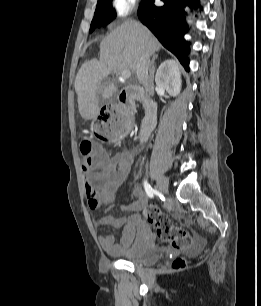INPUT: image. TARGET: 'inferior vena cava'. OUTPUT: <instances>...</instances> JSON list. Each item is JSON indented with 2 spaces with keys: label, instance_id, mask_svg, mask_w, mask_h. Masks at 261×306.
<instances>
[{
  "label": "inferior vena cava",
  "instance_id": "1",
  "mask_svg": "<svg viewBox=\"0 0 261 306\" xmlns=\"http://www.w3.org/2000/svg\"><path fill=\"white\" fill-rule=\"evenodd\" d=\"M150 66V54L148 52H143L137 62L136 73L138 80L144 86L145 90L152 95L153 77L150 74Z\"/></svg>",
  "mask_w": 261,
  "mask_h": 306
}]
</instances>
